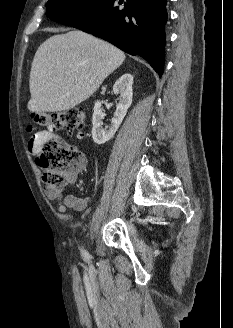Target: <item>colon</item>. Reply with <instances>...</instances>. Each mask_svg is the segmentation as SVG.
<instances>
[{
	"label": "colon",
	"instance_id": "5ec220e1",
	"mask_svg": "<svg viewBox=\"0 0 233 328\" xmlns=\"http://www.w3.org/2000/svg\"><path fill=\"white\" fill-rule=\"evenodd\" d=\"M87 114L82 108L61 112L32 114L33 121L50 131L68 130L83 136ZM36 163L43 170L42 180L47 187L60 188L72 179L83 163L81 151L57 137L45 141L36 154Z\"/></svg>",
	"mask_w": 233,
	"mask_h": 328
}]
</instances>
